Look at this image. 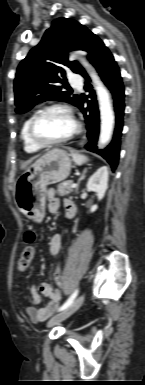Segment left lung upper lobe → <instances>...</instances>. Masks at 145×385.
<instances>
[{
  "label": "left lung upper lobe",
  "mask_w": 145,
  "mask_h": 385,
  "mask_svg": "<svg viewBox=\"0 0 145 385\" xmlns=\"http://www.w3.org/2000/svg\"><path fill=\"white\" fill-rule=\"evenodd\" d=\"M93 33L75 20L59 18L52 22L40 43L21 61L14 80L17 113H25L37 103L57 100L79 106L81 97L66 88V69L78 73L81 65L68 61L71 50H89ZM64 83V85H59Z\"/></svg>",
  "instance_id": "obj_1"
}]
</instances>
